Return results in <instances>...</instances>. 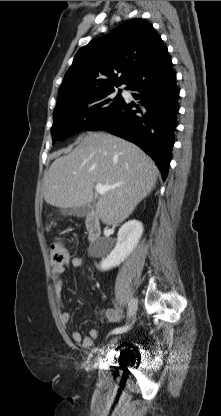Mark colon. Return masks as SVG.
<instances>
[{"label":"colon","mask_w":221,"mask_h":416,"mask_svg":"<svg viewBox=\"0 0 221 416\" xmlns=\"http://www.w3.org/2000/svg\"><path fill=\"white\" fill-rule=\"evenodd\" d=\"M69 256V250L64 242L56 240L50 244V260L53 265H63Z\"/></svg>","instance_id":"5ec220e1"}]
</instances>
